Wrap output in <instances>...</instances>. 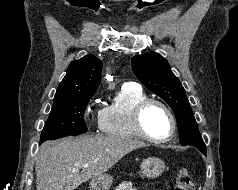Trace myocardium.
Wrapping results in <instances>:
<instances>
[{
    "instance_id": "1",
    "label": "myocardium",
    "mask_w": 238,
    "mask_h": 190,
    "mask_svg": "<svg viewBox=\"0 0 238 190\" xmlns=\"http://www.w3.org/2000/svg\"><path fill=\"white\" fill-rule=\"evenodd\" d=\"M152 105L160 106L167 113L170 119V122H171L170 132L164 137H160V138L154 137L150 135L144 128L143 115L146 112V110ZM132 121H133V126L136 132L138 133V135L141 138L153 143H164L169 141L174 136L176 127H177L176 118L174 116V113L170 109V107L163 101L154 99V98H146L136 105L133 111Z\"/></svg>"
}]
</instances>
